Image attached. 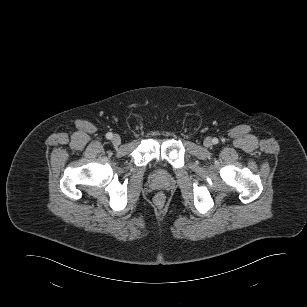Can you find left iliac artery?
Listing matches in <instances>:
<instances>
[{"mask_svg": "<svg viewBox=\"0 0 307 307\" xmlns=\"http://www.w3.org/2000/svg\"><path fill=\"white\" fill-rule=\"evenodd\" d=\"M213 143H214V144H216V143H217V140H216V139H214V140H213Z\"/></svg>", "mask_w": 307, "mask_h": 307, "instance_id": "44dca946", "label": "left iliac artery"}]
</instances>
